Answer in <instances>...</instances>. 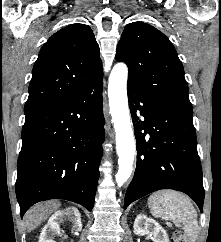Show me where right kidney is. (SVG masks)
Returning <instances> with one entry per match:
<instances>
[{
	"mask_svg": "<svg viewBox=\"0 0 221 242\" xmlns=\"http://www.w3.org/2000/svg\"><path fill=\"white\" fill-rule=\"evenodd\" d=\"M67 217L73 224L72 231L79 232L82 229L81 216L76 207H68L62 211H56L48 220L44 226L39 242H55L53 240L54 235L60 234V223Z\"/></svg>",
	"mask_w": 221,
	"mask_h": 242,
	"instance_id": "1",
	"label": "right kidney"
}]
</instances>
